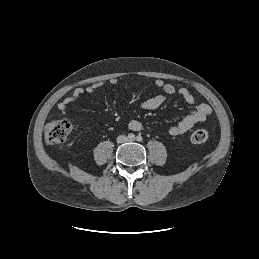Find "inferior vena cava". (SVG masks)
<instances>
[{
	"label": "inferior vena cava",
	"instance_id": "602c4592",
	"mask_svg": "<svg viewBox=\"0 0 259 259\" xmlns=\"http://www.w3.org/2000/svg\"><path fill=\"white\" fill-rule=\"evenodd\" d=\"M126 140H127V138H126V136H124V135H120V136L117 137V142H118V143H123V142H125Z\"/></svg>",
	"mask_w": 259,
	"mask_h": 259
}]
</instances>
